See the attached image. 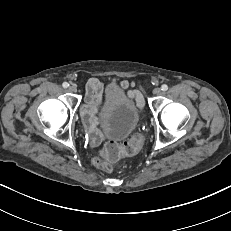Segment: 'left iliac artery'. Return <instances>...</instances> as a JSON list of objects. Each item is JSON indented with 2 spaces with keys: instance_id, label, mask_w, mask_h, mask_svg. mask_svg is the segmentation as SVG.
Instances as JSON below:
<instances>
[{
  "instance_id": "obj_1",
  "label": "left iliac artery",
  "mask_w": 231,
  "mask_h": 231,
  "mask_svg": "<svg viewBox=\"0 0 231 231\" xmlns=\"http://www.w3.org/2000/svg\"><path fill=\"white\" fill-rule=\"evenodd\" d=\"M168 89V86L166 85V84H163L162 86H161V90L162 91H166Z\"/></svg>"
}]
</instances>
